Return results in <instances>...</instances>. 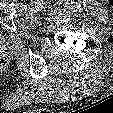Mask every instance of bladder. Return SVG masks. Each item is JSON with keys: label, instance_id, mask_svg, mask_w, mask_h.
Masks as SVG:
<instances>
[{"label": "bladder", "instance_id": "bladder-1", "mask_svg": "<svg viewBox=\"0 0 113 113\" xmlns=\"http://www.w3.org/2000/svg\"><path fill=\"white\" fill-rule=\"evenodd\" d=\"M2 39H3V35H2L1 30H0V43H1Z\"/></svg>", "mask_w": 113, "mask_h": 113}]
</instances>
